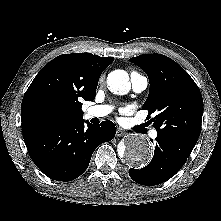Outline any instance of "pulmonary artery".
I'll return each instance as SVG.
<instances>
[{
	"label": "pulmonary artery",
	"mask_w": 221,
	"mask_h": 221,
	"mask_svg": "<svg viewBox=\"0 0 221 221\" xmlns=\"http://www.w3.org/2000/svg\"><path fill=\"white\" fill-rule=\"evenodd\" d=\"M132 89L136 93L143 92L148 86V79L143 74L138 72H132L130 75ZM111 106L109 105H97L92 106L87 109L86 116L88 118H99L108 115L111 112ZM151 136L155 138L157 132L155 130L151 131Z\"/></svg>",
	"instance_id": "obj_1"
}]
</instances>
